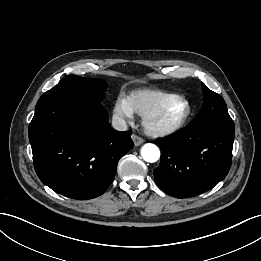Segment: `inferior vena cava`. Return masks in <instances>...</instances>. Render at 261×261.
I'll use <instances>...</instances> for the list:
<instances>
[{
  "label": "inferior vena cava",
  "mask_w": 261,
  "mask_h": 261,
  "mask_svg": "<svg viewBox=\"0 0 261 261\" xmlns=\"http://www.w3.org/2000/svg\"><path fill=\"white\" fill-rule=\"evenodd\" d=\"M112 126L117 131H126L128 128L126 121L116 115L112 117Z\"/></svg>",
  "instance_id": "602c4592"
}]
</instances>
